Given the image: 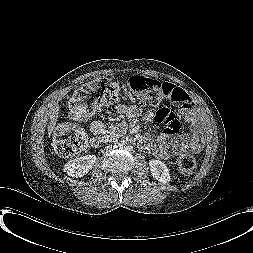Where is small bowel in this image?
Here are the masks:
<instances>
[{
	"label": "small bowel",
	"instance_id": "1",
	"mask_svg": "<svg viewBox=\"0 0 253 253\" xmlns=\"http://www.w3.org/2000/svg\"><path fill=\"white\" fill-rule=\"evenodd\" d=\"M173 103L180 105V114L192 124L191 137H179V123L175 120V115L169 109H161L156 114L148 112L145 120L150 121L156 117L158 122L167 124L163 132L154 137L151 135L143 136V143L146 145L149 154L159 158L168 159L171 156L185 152H198L203 144V131L199 122V115L194 103L187 92L181 88H177L174 94ZM116 110L119 114L136 118L139 115V109L136 106L118 105ZM89 131L92 133L90 140L93 146H99L106 142L115 132L116 127L107 128L105 124L99 120H94L88 125Z\"/></svg>",
	"mask_w": 253,
	"mask_h": 253
}]
</instances>
